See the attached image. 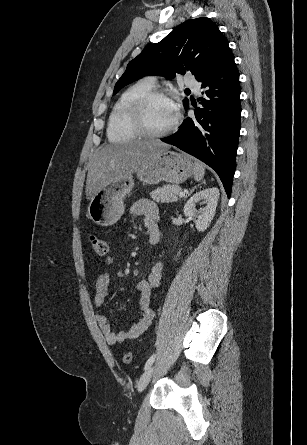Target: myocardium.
<instances>
[{"instance_id": "1", "label": "myocardium", "mask_w": 307, "mask_h": 445, "mask_svg": "<svg viewBox=\"0 0 307 445\" xmlns=\"http://www.w3.org/2000/svg\"><path fill=\"white\" fill-rule=\"evenodd\" d=\"M157 99L167 100L172 103L166 93L159 90H151L146 95H144L135 105L134 118L140 134L145 136L142 139H158L161 137H167L174 133L179 125L180 115L178 112H176L172 124L164 131L155 132L149 128L146 120V109L152 101Z\"/></svg>"}]
</instances>
